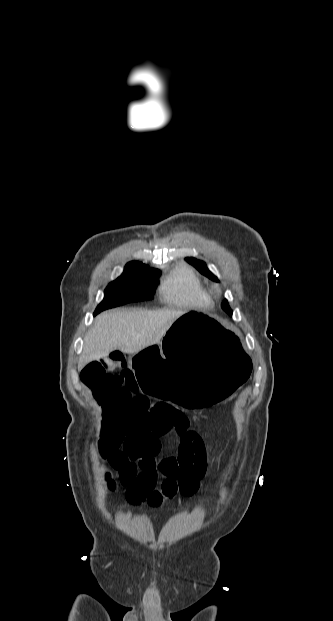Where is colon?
Segmentation results:
<instances>
[{"mask_svg":"<svg viewBox=\"0 0 333 621\" xmlns=\"http://www.w3.org/2000/svg\"><path fill=\"white\" fill-rule=\"evenodd\" d=\"M135 475V467L134 465L130 464L127 469H125L124 471H122L121 476H122V480L125 483H128L132 480V478ZM113 482L110 484V486H113Z\"/></svg>","mask_w":333,"mask_h":621,"instance_id":"obj_1","label":"colon"}]
</instances>
